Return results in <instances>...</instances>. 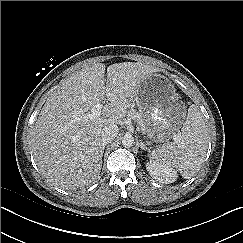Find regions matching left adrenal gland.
<instances>
[{
	"mask_svg": "<svg viewBox=\"0 0 243 243\" xmlns=\"http://www.w3.org/2000/svg\"><path fill=\"white\" fill-rule=\"evenodd\" d=\"M140 148H141L142 150H144V151L149 150V149L147 148V146H146L142 141L140 142Z\"/></svg>",
	"mask_w": 243,
	"mask_h": 243,
	"instance_id": "left-adrenal-gland-1",
	"label": "left adrenal gland"
}]
</instances>
